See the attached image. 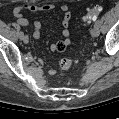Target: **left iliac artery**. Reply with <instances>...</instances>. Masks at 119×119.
<instances>
[{
	"label": "left iliac artery",
	"mask_w": 119,
	"mask_h": 119,
	"mask_svg": "<svg viewBox=\"0 0 119 119\" xmlns=\"http://www.w3.org/2000/svg\"><path fill=\"white\" fill-rule=\"evenodd\" d=\"M100 20H97L96 22H95V25H98V26H100Z\"/></svg>",
	"instance_id": "obj_1"
}]
</instances>
